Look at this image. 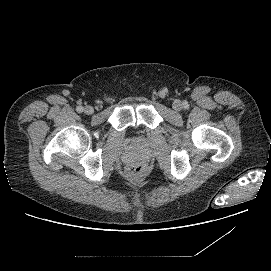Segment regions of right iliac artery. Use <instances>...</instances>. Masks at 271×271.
I'll return each mask as SVG.
<instances>
[{"mask_svg": "<svg viewBox=\"0 0 271 271\" xmlns=\"http://www.w3.org/2000/svg\"><path fill=\"white\" fill-rule=\"evenodd\" d=\"M76 111H77L78 113L83 112V107H82V106H78V107L76 108Z\"/></svg>", "mask_w": 271, "mask_h": 271, "instance_id": "82829eb1", "label": "right iliac artery"}]
</instances>
